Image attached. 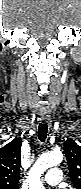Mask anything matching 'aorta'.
Returning a JSON list of instances; mask_svg holds the SVG:
<instances>
[{
	"mask_svg": "<svg viewBox=\"0 0 81 189\" xmlns=\"http://www.w3.org/2000/svg\"><path fill=\"white\" fill-rule=\"evenodd\" d=\"M62 160L63 155L60 151H53L48 154L41 155L29 171V188L45 189L40 179L41 175L47 169L60 164Z\"/></svg>",
	"mask_w": 81,
	"mask_h": 189,
	"instance_id": "1",
	"label": "aorta"
}]
</instances>
